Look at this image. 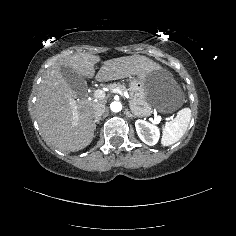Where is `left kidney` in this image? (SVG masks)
I'll return each mask as SVG.
<instances>
[{
	"mask_svg": "<svg viewBox=\"0 0 236 236\" xmlns=\"http://www.w3.org/2000/svg\"><path fill=\"white\" fill-rule=\"evenodd\" d=\"M135 128L139 138L147 145H155L160 137L159 128L145 120H136Z\"/></svg>",
	"mask_w": 236,
	"mask_h": 236,
	"instance_id": "obj_1",
	"label": "left kidney"
}]
</instances>
